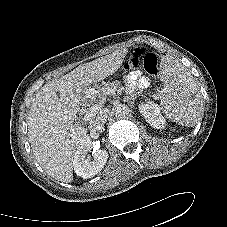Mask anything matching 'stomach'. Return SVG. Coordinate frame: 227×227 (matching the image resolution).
<instances>
[{"label":"stomach","mask_w":227,"mask_h":227,"mask_svg":"<svg viewBox=\"0 0 227 227\" xmlns=\"http://www.w3.org/2000/svg\"><path fill=\"white\" fill-rule=\"evenodd\" d=\"M112 86V83L110 80L105 79V80H98L90 85L87 86L85 92H84V97L87 98V93L90 95H93L99 91L102 90H108Z\"/></svg>","instance_id":"0dacf381"}]
</instances>
